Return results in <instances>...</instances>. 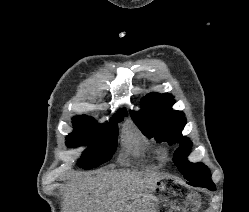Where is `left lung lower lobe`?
Returning a JSON list of instances; mask_svg holds the SVG:
<instances>
[{
    "label": "left lung lower lobe",
    "instance_id": "obj_1",
    "mask_svg": "<svg viewBox=\"0 0 249 212\" xmlns=\"http://www.w3.org/2000/svg\"><path fill=\"white\" fill-rule=\"evenodd\" d=\"M198 187H205V188H207L209 190H212V191L216 190L215 185H214L213 182H211V183H205V184H200Z\"/></svg>",
    "mask_w": 249,
    "mask_h": 212
}]
</instances>
